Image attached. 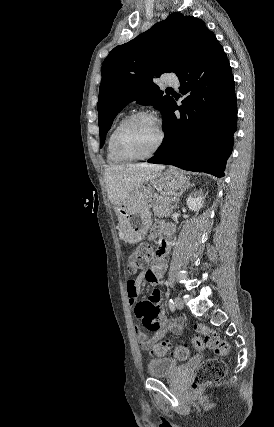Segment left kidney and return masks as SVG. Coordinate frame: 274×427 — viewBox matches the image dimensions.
<instances>
[{"instance_id": "5707ae66", "label": "left kidney", "mask_w": 274, "mask_h": 427, "mask_svg": "<svg viewBox=\"0 0 274 427\" xmlns=\"http://www.w3.org/2000/svg\"><path fill=\"white\" fill-rule=\"evenodd\" d=\"M200 194H201V192H196V194H194V196H189V198H187L186 204H187L189 210H194V212H198V210H200V208H202L204 198H203V196H200Z\"/></svg>"}]
</instances>
